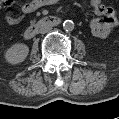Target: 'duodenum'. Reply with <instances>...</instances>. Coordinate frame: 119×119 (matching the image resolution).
Instances as JSON below:
<instances>
[{
    "label": "duodenum",
    "instance_id": "obj_1",
    "mask_svg": "<svg viewBox=\"0 0 119 119\" xmlns=\"http://www.w3.org/2000/svg\"><path fill=\"white\" fill-rule=\"evenodd\" d=\"M61 22L59 17L56 16H47L39 19L38 21L30 24L24 31V38L31 39L33 38L41 28L44 27H54Z\"/></svg>",
    "mask_w": 119,
    "mask_h": 119
}]
</instances>
